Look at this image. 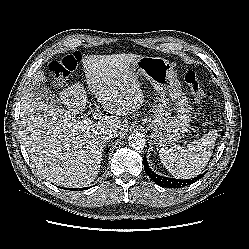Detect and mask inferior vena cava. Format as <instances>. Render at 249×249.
Instances as JSON below:
<instances>
[{
    "instance_id": "1",
    "label": "inferior vena cava",
    "mask_w": 249,
    "mask_h": 249,
    "mask_svg": "<svg viewBox=\"0 0 249 249\" xmlns=\"http://www.w3.org/2000/svg\"><path fill=\"white\" fill-rule=\"evenodd\" d=\"M118 131L116 129H108L104 131V137L107 140H110L112 138H114L115 136H117Z\"/></svg>"
}]
</instances>
